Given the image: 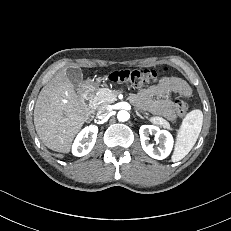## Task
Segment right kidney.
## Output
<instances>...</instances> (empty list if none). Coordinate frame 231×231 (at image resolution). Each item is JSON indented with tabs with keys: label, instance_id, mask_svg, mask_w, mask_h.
I'll use <instances>...</instances> for the list:
<instances>
[{
	"label": "right kidney",
	"instance_id": "ca27d5eb",
	"mask_svg": "<svg viewBox=\"0 0 231 231\" xmlns=\"http://www.w3.org/2000/svg\"><path fill=\"white\" fill-rule=\"evenodd\" d=\"M98 127L95 125H91L89 127H85L76 137L74 144L72 146V153L75 156L81 157L88 154L97 138Z\"/></svg>",
	"mask_w": 231,
	"mask_h": 231
}]
</instances>
